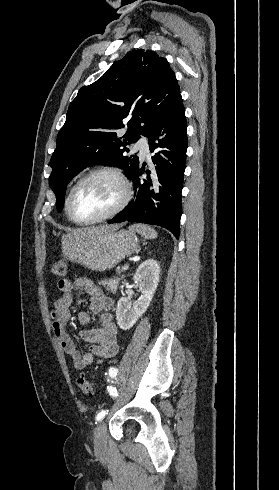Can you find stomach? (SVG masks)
<instances>
[{"label":"stomach","instance_id":"obj_1","mask_svg":"<svg viewBox=\"0 0 279 490\" xmlns=\"http://www.w3.org/2000/svg\"><path fill=\"white\" fill-rule=\"evenodd\" d=\"M139 240L130 230H111L91 238L63 236L61 250L72 264H80L91 272H108L124 258L136 252Z\"/></svg>","mask_w":279,"mask_h":490}]
</instances>
